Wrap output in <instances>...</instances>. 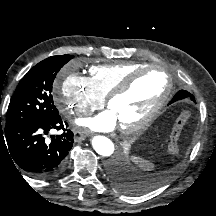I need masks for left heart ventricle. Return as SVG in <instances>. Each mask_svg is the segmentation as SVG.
<instances>
[{
    "label": "left heart ventricle",
    "mask_w": 216,
    "mask_h": 216,
    "mask_svg": "<svg viewBox=\"0 0 216 216\" xmlns=\"http://www.w3.org/2000/svg\"><path fill=\"white\" fill-rule=\"evenodd\" d=\"M166 77L158 70L141 76L123 96L111 102L110 110L119 126L142 119L166 89Z\"/></svg>",
    "instance_id": "left-heart-ventricle-1"
}]
</instances>
